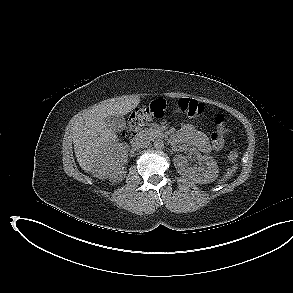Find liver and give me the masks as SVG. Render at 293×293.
I'll use <instances>...</instances> for the list:
<instances>
[{
	"mask_svg": "<svg viewBox=\"0 0 293 293\" xmlns=\"http://www.w3.org/2000/svg\"><path fill=\"white\" fill-rule=\"evenodd\" d=\"M139 103V98L125 96L93 106L74 118L70 132L77 161L85 172L106 179L123 169L129 145L119 142L105 119L109 115L124 116Z\"/></svg>",
	"mask_w": 293,
	"mask_h": 293,
	"instance_id": "obj_1",
	"label": "liver"
}]
</instances>
